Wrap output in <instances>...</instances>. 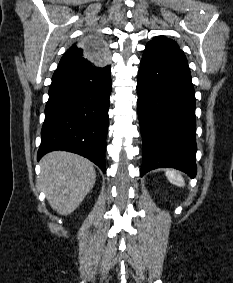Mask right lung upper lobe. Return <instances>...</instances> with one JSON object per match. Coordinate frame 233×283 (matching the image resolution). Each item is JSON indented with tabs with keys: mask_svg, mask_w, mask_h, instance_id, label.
<instances>
[{
	"mask_svg": "<svg viewBox=\"0 0 233 283\" xmlns=\"http://www.w3.org/2000/svg\"><path fill=\"white\" fill-rule=\"evenodd\" d=\"M104 39L98 34L90 35L84 44H73L61 58L58 68L79 65H107L114 49H108Z\"/></svg>",
	"mask_w": 233,
	"mask_h": 283,
	"instance_id": "right-lung-upper-lobe-1",
	"label": "right lung upper lobe"
}]
</instances>
